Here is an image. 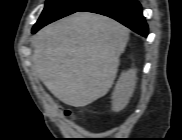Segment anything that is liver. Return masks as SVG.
<instances>
[{
	"mask_svg": "<svg viewBox=\"0 0 182 140\" xmlns=\"http://www.w3.org/2000/svg\"><path fill=\"white\" fill-rule=\"evenodd\" d=\"M129 30L108 17L77 12L33 38V69L61 102L87 106L112 87Z\"/></svg>",
	"mask_w": 182,
	"mask_h": 140,
	"instance_id": "liver-1",
	"label": "liver"
}]
</instances>
